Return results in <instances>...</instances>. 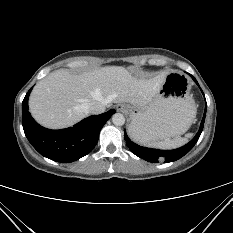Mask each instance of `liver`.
Wrapping results in <instances>:
<instances>
[{
  "label": "liver",
  "mask_w": 233,
  "mask_h": 233,
  "mask_svg": "<svg viewBox=\"0 0 233 233\" xmlns=\"http://www.w3.org/2000/svg\"><path fill=\"white\" fill-rule=\"evenodd\" d=\"M168 72L153 77L133 74L121 66H110L73 75L57 70L34 87L29 108L41 125L61 129L88 116L92 102L130 103L145 106L162 87Z\"/></svg>",
  "instance_id": "1"
}]
</instances>
